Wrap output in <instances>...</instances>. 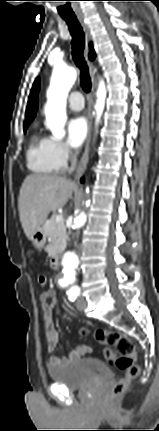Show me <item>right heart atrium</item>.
Instances as JSON below:
<instances>
[{"label": "right heart atrium", "instance_id": "right-heart-atrium-1", "mask_svg": "<svg viewBox=\"0 0 159 431\" xmlns=\"http://www.w3.org/2000/svg\"><path fill=\"white\" fill-rule=\"evenodd\" d=\"M46 142L48 155L54 169L57 171L64 169L73 157L71 148L66 142L54 137L46 138Z\"/></svg>", "mask_w": 159, "mask_h": 431}]
</instances>
